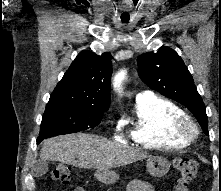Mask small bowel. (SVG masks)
I'll list each match as a JSON object with an SVG mask.
<instances>
[{
	"label": "small bowel",
	"mask_w": 221,
	"mask_h": 191,
	"mask_svg": "<svg viewBox=\"0 0 221 191\" xmlns=\"http://www.w3.org/2000/svg\"><path fill=\"white\" fill-rule=\"evenodd\" d=\"M127 191H154V189L148 181L133 179L129 183ZM174 191H188V190L185 186L176 184L174 187Z\"/></svg>",
	"instance_id": "1"
}]
</instances>
